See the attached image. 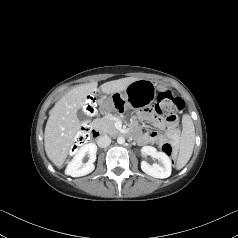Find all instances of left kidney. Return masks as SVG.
Returning <instances> with one entry per match:
<instances>
[{"label": "left kidney", "mask_w": 238, "mask_h": 238, "mask_svg": "<svg viewBox=\"0 0 238 238\" xmlns=\"http://www.w3.org/2000/svg\"><path fill=\"white\" fill-rule=\"evenodd\" d=\"M143 156H151L158 160V163L153 165L148 164L146 161L141 162V169L146 174L155 178H167L171 175V160L163 152H159L152 146H144L141 149Z\"/></svg>", "instance_id": "obj_1"}]
</instances>
